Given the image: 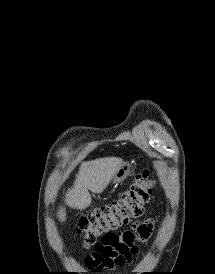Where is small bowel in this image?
<instances>
[{
    "instance_id": "c3829d8e",
    "label": "small bowel",
    "mask_w": 215,
    "mask_h": 274,
    "mask_svg": "<svg viewBox=\"0 0 215 274\" xmlns=\"http://www.w3.org/2000/svg\"><path fill=\"white\" fill-rule=\"evenodd\" d=\"M153 230V222H137L123 232L105 234L94 245L91 255L86 256L85 265L92 272L117 269L130 264L138 253L136 243L148 239Z\"/></svg>"
}]
</instances>
